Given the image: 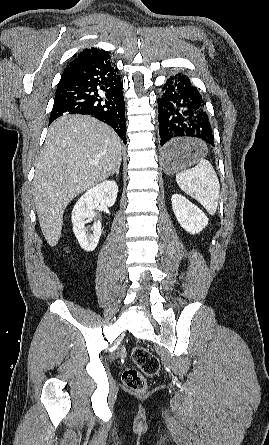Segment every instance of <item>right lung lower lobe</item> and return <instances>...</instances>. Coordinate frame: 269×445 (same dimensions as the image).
<instances>
[{"mask_svg":"<svg viewBox=\"0 0 269 445\" xmlns=\"http://www.w3.org/2000/svg\"><path fill=\"white\" fill-rule=\"evenodd\" d=\"M64 114L91 115L110 125L127 143L122 82L108 54L61 78L49 124Z\"/></svg>","mask_w":269,"mask_h":445,"instance_id":"right-lung-lower-lobe-1","label":"right lung lower lobe"}]
</instances>
